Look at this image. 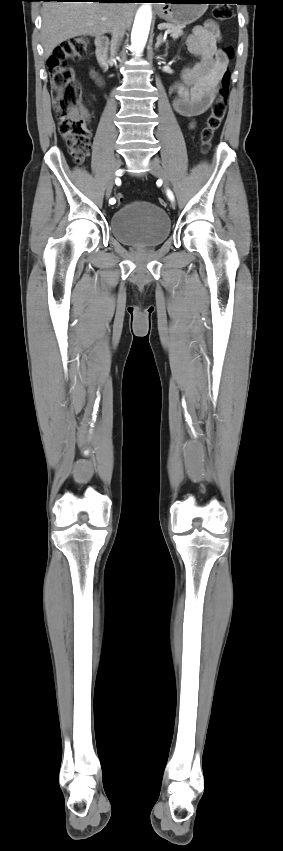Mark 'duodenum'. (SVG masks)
Listing matches in <instances>:
<instances>
[{
    "instance_id": "410a0bca",
    "label": "duodenum",
    "mask_w": 283,
    "mask_h": 851,
    "mask_svg": "<svg viewBox=\"0 0 283 851\" xmlns=\"http://www.w3.org/2000/svg\"><path fill=\"white\" fill-rule=\"evenodd\" d=\"M108 39L104 36H100L96 39V56L99 64L103 68L108 67Z\"/></svg>"
}]
</instances>
